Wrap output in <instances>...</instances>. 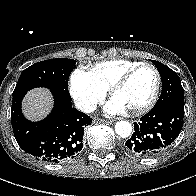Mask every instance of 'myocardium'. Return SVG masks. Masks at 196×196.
Wrapping results in <instances>:
<instances>
[{
    "mask_svg": "<svg viewBox=\"0 0 196 196\" xmlns=\"http://www.w3.org/2000/svg\"><path fill=\"white\" fill-rule=\"evenodd\" d=\"M144 68H150L154 71V73L156 75V85H155L154 92L147 103H145L144 105H142L136 109L130 110V113L133 115H140V114H143V113L149 111L157 102L159 94H160V90H161V85H162L161 73L157 69V67L154 66L153 64H150V63H141V64L133 67L132 69H130L126 73H124L119 79H117L112 84V86L109 89V95L111 98H113V96L115 95V93L117 91H119L121 88H123L138 71H140L141 69H144Z\"/></svg>",
    "mask_w": 196,
    "mask_h": 196,
    "instance_id": "f54148a6",
    "label": "myocardium"
}]
</instances>
